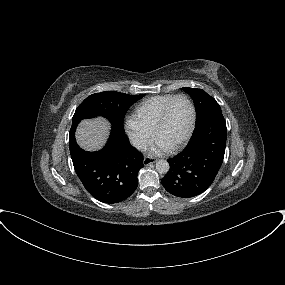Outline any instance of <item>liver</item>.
Masks as SVG:
<instances>
[{"instance_id": "6515ba94", "label": "liver", "mask_w": 285, "mask_h": 285, "mask_svg": "<svg viewBox=\"0 0 285 285\" xmlns=\"http://www.w3.org/2000/svg\"><path fill=\"white\" fill-rule=\"evenodd\" d=\"M108 125V122L102 118L82 121L76 132L78 144L88 151L102 148L109 133Z\"/></svg>"}]
</instances>
